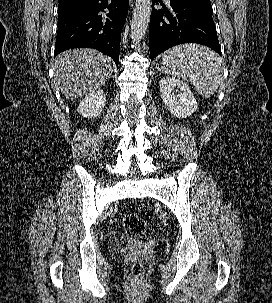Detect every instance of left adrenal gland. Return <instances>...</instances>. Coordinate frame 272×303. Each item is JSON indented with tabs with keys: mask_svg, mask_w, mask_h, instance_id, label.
I'll return each instance as SVG.
<instances>
[{
	"mask_svg": "<svg viewBox=\"0 0 272 303\" xmlns=\"http://www.w3.org/2000/svg\"><path fill=\"white\" fill-rule=\"evenodd\" d=\"M158 70L161 72V69H160V68H158Z\"/></svg>",
	"mask_w": 272,
	"mask_h": 303,
	"instance_id": "1",
	"label": "left adrenal gland"
}]
</instances>
